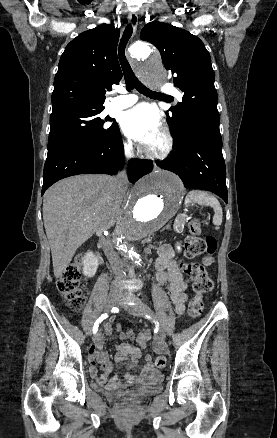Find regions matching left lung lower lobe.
I'll return each instance as SVG.
<instances>
[{
  "mask_svg": "<svg viewBox=\"0 0 277 438\" xmlns=\"http://www.w3.org/2000/svg\"><path fill=\"white\" fill-rule=\"evenodd\" d=\"M220 117L206 108L192 118L175 154L156 164L179 175L188 189H203L219 195L227 203L226 169L222 155Z\"/></svg>",
  "mask_w": 277,
  "mask_h": 438,
  "instance_id": "1",
  "label": "left lung lower lobe"
}]
</instances>
